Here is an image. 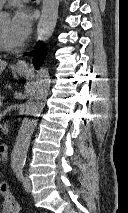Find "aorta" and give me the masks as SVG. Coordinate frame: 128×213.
Instances as JSON below:
<instances>
[{
	"mask_svg": "<svg viewBox=\"0 0 128 213\" xmlns=\"http://www.w3.org/2000/svg\"><path fill=\"white\" fill-rule=\"evenodd\" d=\"M60 0H43L41 16L37 25V37L47 41L53 34L57 19ZM38 80L30 91V99L26 103V117L23 119L15 145L11 153V167L22 168L27 158L31 136L37 125L36 117L43 109L42 100L47 97L50 88L49 72L42 67L37 72Z\"/></svg>",
	"mask_w": 128,
	"mask_h": 213,
	"instance_id": "obj_1",
	"label": "aorta"
}]
</instances>
